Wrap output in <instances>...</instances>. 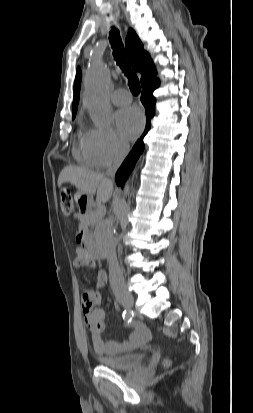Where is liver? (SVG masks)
<instances>
[{"label": "liver", "mask_w": 253, "mask_h": 413, "mask_svg": "<svg viewBox=\"0 0 253 413\" xmlns=\"http://www.w3.org/2000/svg\"><path fill=\"white\" fill-rule=\"evenodd\" d=\"M69 182L81 192L91 196L97 194L96 200L100 203L107 202L113 192V183L103 174L92 172L77 166H66L59 174L58 187Z\"/></svg>", "instance_id": "obj_1"}]
</instances>
